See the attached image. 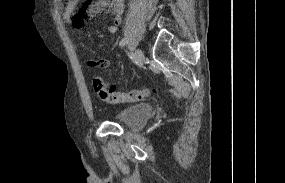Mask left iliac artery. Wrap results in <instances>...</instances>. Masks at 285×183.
<instances>
[{"label": "left iliac artery", "instance_id": "left-iliac-artery-1", "mask_svg": "<svg viewBox=\"0 0 285 183\" xmlns=\"http://www.w3.org/2000/svg\"><path fill=\"white\" fill-rule=\"evenodd\" d=\"M127 44V40L126 39H122L119 43V45L122 47V46H125ZM133 58L135 59L134 55H132Z\"/></svg>", "mask_w": 285, "mask_h": 183}]
</instances>
